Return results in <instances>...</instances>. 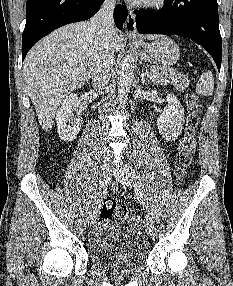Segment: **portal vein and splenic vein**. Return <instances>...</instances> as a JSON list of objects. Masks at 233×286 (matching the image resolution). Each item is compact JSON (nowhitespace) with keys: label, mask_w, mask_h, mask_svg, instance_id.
<instances>
[{"label":"portal vein and splenic vein","mask_w":233,"mask_h":286,"mask_svg":"<svg viewBox=\"0 0 233 286\" xmlns=\"http://www.w3.org/2000/svg\"><path fill=\"white\" fill-rule=\"evenodd\" d=\"M158 75H159V73H157V72H152L151 78H155V77H157Z\"/></svg>","instance_id":"obj_1"}]
</instances>
